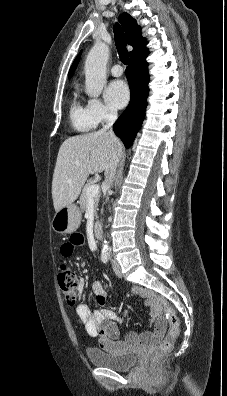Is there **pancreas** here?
Returning <instances> with one entry per match:
<instances>
[{
  "label": "pancreas",
  "mask_w": 227,
  "mask_h": 396,
  "mask_svg": "<svg viewBox=\"0 0 227 396\" xmlns=\"http://www.w3.org/2000/svg\"><path fill=\"white\" fill-rule=\"evenodd\" d=\"M92 184H93V182L90 181L82 189V194L80 196V209H81V211H85L86 210V206H87V202H88V198H89V196L86 193V190H87L88 186H90ZM99 198H100V194L99 193L93 197V202H94V206H93L94 210H93V212H94L95 217H97Z\"/></svg>",
  "instance_id": "obj_1"
}]
</instances>
